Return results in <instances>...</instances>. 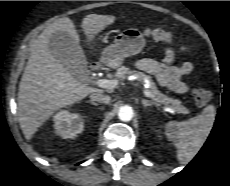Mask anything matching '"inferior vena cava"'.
Listing matches in <instances>:
<instances>
[{
    "instance_id": "602c4592",
    "label": "inferior vena cava",
    "mask_w": 230,
    "mask_h": 186,
    "mask_svg": "<svg viewBox=\"0 0 230 186\" xmlns=\"http://www.w3.org/2000/svg\"><path fill=\"white\" fill-rule=\"evenodd\" d=\"M90 98H91V101H97V102L105 103V104L109 103L111 100L110 96L104 95L101 93H92L90 95Z\"/></svg>"
}]
</instances>
